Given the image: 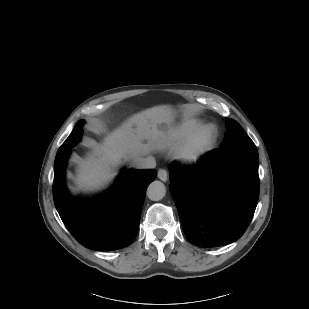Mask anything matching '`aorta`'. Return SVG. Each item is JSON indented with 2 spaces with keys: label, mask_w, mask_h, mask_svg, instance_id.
<instances>
[{
  "label": "aorta",
  "mask_w": 309,
  "mask_h": 309,
  "mask_svg": "<svg viewBox=\"0 0 309 309\" xmlns=\"http://www.w3.org/2000/svg\"><path fill=\"white\" fill-rule=\"evenodd\" d=\"M166 194V187L160 181H153L147 188V196L152 201L161 200Z\"/></svg>",
  "instance_id": "762f6f07"
}]
</instances>
